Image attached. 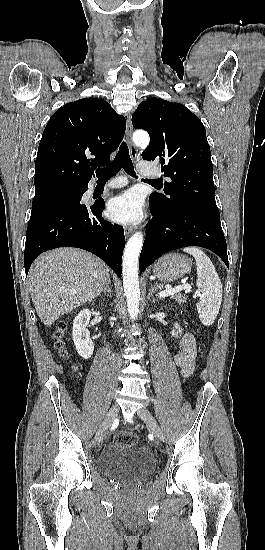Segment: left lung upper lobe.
Here are the masks:
<instances>
[{
	"label": "left lung upper lobe",
	"instance_id": "left-lung-upper-lobe-1",
	"mask_svg": "<svg viewBox=\"0 0 265 550\" xmlns=\"http://www.w3.org/2000/svg\"><path fill=\"white\" fill-rule=\"evenodd\" d=\"M135 128L145 129L150 144L142 158L158 161L164 175V192L150 195V206L160 212L191 207L220 217L215 202L213 165L206 130L184 105L161 98L143 101L132 115Z\"/></svg>",
	"mask_w": 265,
	"mask_h": 550
}]
</instances>
